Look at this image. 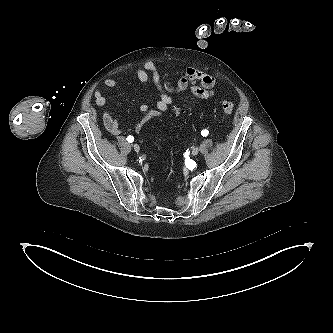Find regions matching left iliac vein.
Listing matches in <instances>:
<instances>
[{
  "label": "left iliac vein",
  "instance_id": "4c4485c4",
  "mask_svg": "<svg viewBox=\"0 0 333 333\" xmlns=\"http://www.w3.org/2000/svg\"><path fill=\"white\" fill-rule=\"evenodd\" d=\"M198 152H199V149H198V147H195V148H193V150H192V155H197L198 154Z\"/></svg>",
  "mask_w": 333,
  "mask_h": 333
}]
</instances>
